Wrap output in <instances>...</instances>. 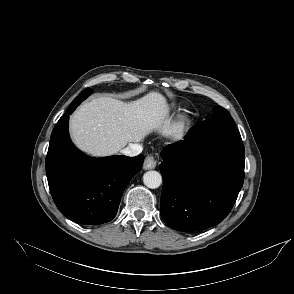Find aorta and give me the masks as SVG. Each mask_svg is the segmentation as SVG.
<instances>
[{
  "mask_svg": "<svg viewBox=\"0 0 294 294\" xmlns=\"http://www.w3.org/2000/svg\"><path fill=\"white\" fill-rule=\"evenodd\" d=\"M144 184L151 189H156L162 184V176L157 171H147L143 175Z\"/></svg>",
  "mask_w": 294,
  "mask_h": 294,
  "instance_id": "1",
  "label": "aorta"
}]
</instances>
